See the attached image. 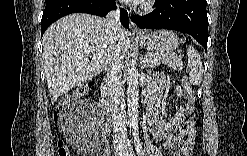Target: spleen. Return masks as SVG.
<instances>
[{
    "mask_svg": "<svg viewBox=\"0 0 247 156\" xmlns=\"http://www.w3.org/2000/svg\"><path fill=\"white\" fill-rule=\"evenodd\" d=\"M189 65V81L192 85H200L203 76V66L199 53L192 46L187 49Z\"/></svg>",
    "mask_w": 247,
    "mask_h": 156,
    "instance_id": "1",
    "label": "spleen"
}]
</instances>
